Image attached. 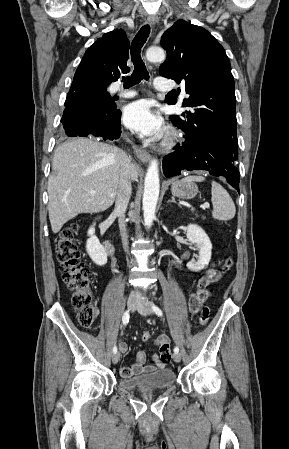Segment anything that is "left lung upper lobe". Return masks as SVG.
<instances>
[{"label":"left lung upper lobe","instance_id":"obj_1","mask_svg":"<svg viewBox=\"0 0 289 449\" xmlns=\"http://www.w3.org/2000/svg\"><path fill=\"white\" fill-rule=\"evenodd\" d=\"M167 59L161 76L185 84L189 95L183 106L190 111L172 116L185 130L219 127L236 136V97L230 61L224 48L204 28L179 20L161 38ZM180 89L169 92L168 104H175Z\"/></svg>","mask_w":289,"mask_h":449}]
</instances>
